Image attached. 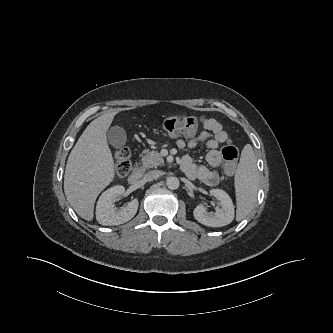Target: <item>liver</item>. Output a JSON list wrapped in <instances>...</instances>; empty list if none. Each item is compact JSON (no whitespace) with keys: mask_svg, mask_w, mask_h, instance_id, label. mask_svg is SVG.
<instances>
[{"mask_svg":"<svg viewBox=\"0 0 333 333\" xmlns=\"http://www.w3.org/2000/svg\"><path fill=\"white\" fill-rule=\"evenodd\" d=\"M120 109L94 119L71 150L64 175V192L75 212L91 221L100 192L115 177L114 160L106 133Z\"/></svg>","mask_w":333,"mask_h":333,"instance_id":"obj_1","label":"liver"}]
</instances>
